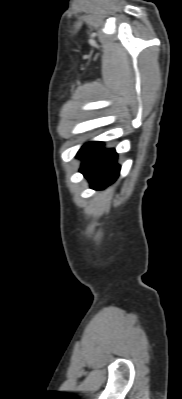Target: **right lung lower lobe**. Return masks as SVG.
I'll return each instance as SVG.
<instances>
[{
	"mask_svg": "<svg viewBox=\"0 0 182 399\" xmlns=\"http://www.w3.org/2000/svg\"><path fill=\"white\" fill-rule=\"evenodd\" d=\"M77 157L82 159L80 172L90 180L92 188L103 189L119 176L117 154L114 149H104L102 142L84 145Z\"/></svg>",
	"mask_w": 182,
	"mask_h": 399,
	"instance_id": "obj_1",
	"label": "right lung lower lobe"
}]
</instances>
